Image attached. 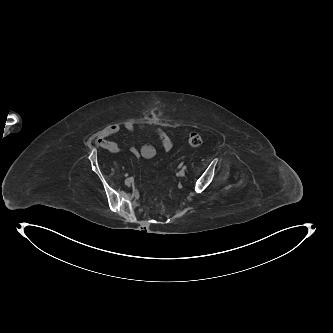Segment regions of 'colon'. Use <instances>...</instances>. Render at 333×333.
<instances>
[{
	"label": "colon",
	"mask_w": 333,
	"mask_h": 333,
	"mask_svg": "<svg viewBox=\"0 0 333 333\" xmlns=\"http://www.w3.org/2000/svg\"><path fill=\"white\" fill-rule=\"evenodd\" d=\"M188 142L192 147H198L202 144V137L198 133L192 132L188 135Z\"/></svg>",
	"instance_id": "colon-1"
}]
</instances>
